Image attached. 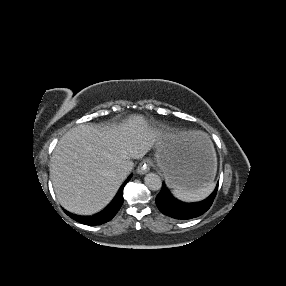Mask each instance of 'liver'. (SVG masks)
Here are the masks:
<instances>
[{"label": "liver", "mask_w": 286, "mask_h": 286, "mask_svg": "<svg viewBox=\"0 0 286 286\" xmlns=\"http://www.w3.org/2000/svg\"><path fill=\"white\" fill-rule=\"evenodd\" d=\"M207 137L200 131L162 135L142 115L98 129L81 124L58 141L50 160V178L60 204L70 212L90 215L104 208L125 178L116 173L124 162L142 158L164 142L168 149L186 138Z\"/></svg>", "instance_id": "obj_1"}]
</instances>
